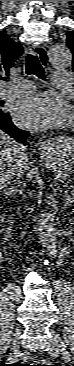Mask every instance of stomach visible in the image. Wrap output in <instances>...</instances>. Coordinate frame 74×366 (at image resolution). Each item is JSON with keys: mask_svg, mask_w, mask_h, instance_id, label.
Returning a JSON list of instances; mask_svg holds the SVG:
<instances>
[{"mask_svg": "<svg viewBox=\"0 0 74 366\" xmlns=\"http://www.w3.org/2000/svg\"><path fill=\"white\" fill-rule=\"evenodd\" d=\"M64 146L70 147L71 145H69L68 142H66V140H61V141H57L56 143H54V147L55 148H63ZM46 155V153H44V156Z\"/></svg>", "mask_w": 74, "mask_h": 366, "instance_id": "0dacf381", "label": "stomach"}]
</instances>
